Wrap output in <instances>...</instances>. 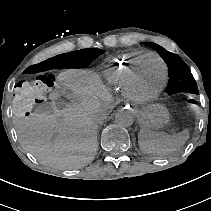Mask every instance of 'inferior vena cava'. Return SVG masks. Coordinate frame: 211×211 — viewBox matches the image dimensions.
I'll return each mask as SVG.
<instances>
[{
	"label": "inferior vena cava",
	"mask_w": 211,
	"mask_h": 211,
	"mask_svg": "<svg viewBox=\"0 0 211 211\" xmlns=\"http://www.w3.org/2000/svg\"><path fill=\"white\" fill-rule=\"evenodd\" d=\"M102 115H105V112H102Z\"/></svg>",
	"instance_id": "inferior-vena-cava-1"
}]
</instances>
